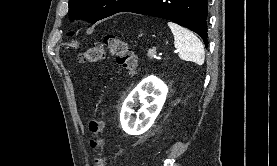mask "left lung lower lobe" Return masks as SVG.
Masks as SVG:
<instances>
[{
	"mask_svg": "<svg viewBox=\"0 0 277 166\" xmlns=\"http://www.w3.org/2000/svg\"><path fill=\"white\" fill-rule=\"evenodd\" d=\"M120 12H133L173 21L196 32L208 46L207 0H136Z\"/></svg>",
	"mask_w": 277,
	"mask_h": 166,
	"instance_id": "obj_1",
	"label": "left lung lower lobe"
}]
</instances>
